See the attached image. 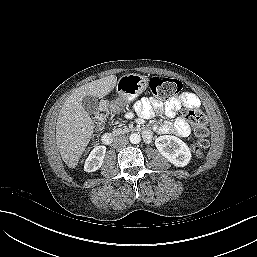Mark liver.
<instances>
[{
  "mask_svg": "<svg viewBox=\"0 0 257 257\" xmlns=\"http://www.w3.org/2000/svg\"><path fill=\"white\" fill-rule=\"evenodd\" d=\"M117 83V77L110 75L79 87L64 102L56 125V141L62 160L69 168H75L90 142L94 124L82 106L87 95L103 98Z\"/></svg>",
  "mask_w": 257,
  "mask_h": 257,
  "instance_id": "liver-1",
  "label": "liver"
}]
</instances>
